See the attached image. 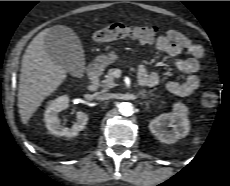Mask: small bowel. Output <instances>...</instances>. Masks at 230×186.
Returning <instances> with one entry per match:
<instances>
[{
	"label": "small bowel",
	"instance_id": "obj_1",
	"mask_svg": "<svg viewBox=\"0 0 230 186\" xmlns=\"http://www.w3.org/2000/svg\"><path fill=\"white\" fill-rule=\"evenodd\" d=\"M154 48L169 58L170 65L177 71L186 75L181 81H169L167 89L179 96L191 95L199 87L197 72L200 67V60L204 56L203 48L190 40L186 35L177 30H166L160 35ZM190 55L187 59L178 58L181 53ZM138 77L141 83L148 87H154L159 83V76L156 73H149L144 65L138 69Z\"/></svg>",
	"mask_w": 230,
	"mask_h": 186
}]
</instances>
